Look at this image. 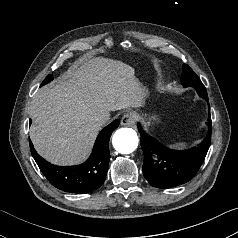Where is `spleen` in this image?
I'll list each match as a JSON object with an SVG mask.
<instances>
[{
  "mask_svg": "<svg viewBox=\"0 0 238 238\" xmlns=\"http://www.w3.org/2000/svg\"><path fill=\"white\" fill-rule=\"evenodd\" d=\"M183 144L182 143H178L176 145H174L175 147H178V146H182Z\"/></svg>",
  "mask_w": 238,
  "mask_h": 238,
  "instance_id": "obj_1",
  "label": "spleen"
}]
</instances>
